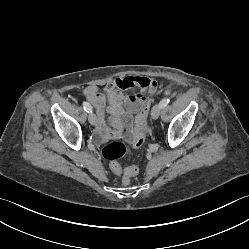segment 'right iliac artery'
Returning a JSON list of instances; mask_svg holds the SVG:
<instances>
[{"label":"right iliac artery","instance_id":"82829eb1","mask_svg":"<svg viewBox=\"0 0 249 249\" xmlns=\"http://www.w3.org/2000/svg\"><path fill=\"white\" fill-rule=\"evenodd\" d=\"M83 108L88 113L92 112V107L88 102H83Z\"/></svg>","mask_w":249,"mask_h":249}]
</instances>
